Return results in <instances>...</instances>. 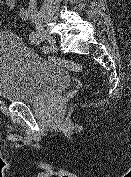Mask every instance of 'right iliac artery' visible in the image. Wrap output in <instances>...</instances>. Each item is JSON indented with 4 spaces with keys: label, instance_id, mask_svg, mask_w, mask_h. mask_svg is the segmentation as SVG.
<instances>
[{
    "label": "right iliac artery",
    "instance_id": "82829eb1",
    "mask_svg": "<svg viewBox=\"0 0 131 177\" xmlns=\"http://www.w3.org/2000/svg\"><path fill=\"white\" fill-rule=\"evenodd\" d=\"M20 17L23 19V20H28L29 18V13L28 11L25 9V8H22L20 10ZM30 40L33 44H36V45H40L41 42H42V38L39 37L38 33L37 32H34L32 31L30 33ZM42 49L44 52H49L50 50V47L48 45H43L42 46Z\"/></svg>",
    "mask_w": 131,
    "mask_h": 177
}]
</instances>
